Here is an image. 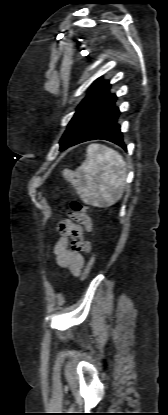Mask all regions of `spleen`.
Returning <instances> with one entry per match:
<instances>
[{
  "label": "spleen",
  "instance_id": "spleen-1",
  "mask_svg": "<svg viewBox=\"0 0 168 415\" xmlns=\"http://www.w3.org/2000/svg\"><path fill=\"white\" fill-rule=\"evenodd\" d=\"M63 176L85 203L111 206L123 195L126 163L117 151L105 145L91 144L85 161L74 172L65 169Z\"/></svg>",
  "mask_w": 168,
  "mask_h": 415
}]
</instances>
